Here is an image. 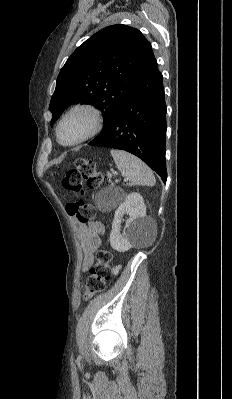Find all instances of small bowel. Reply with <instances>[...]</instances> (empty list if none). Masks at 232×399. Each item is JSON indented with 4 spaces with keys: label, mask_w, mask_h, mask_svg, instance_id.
<instances>
[{
    "label": "small bowel",
    "mask_w": 232,
    "mask_h": 399,
    "mask_svg": "<svg viewBox=\"0 0 232 399\" xmlns=\"http://www.w3.org/2000/svg\"><path fill=\"white\" fill-rule=\"evenodd\" d=\"M77 236L82 248V268L87 270L93 263L95 249L101 242L102 228L98 224L79 226Z\"/></svg>",
    "instance_id": "c3829d8e"
}]
</instances>
